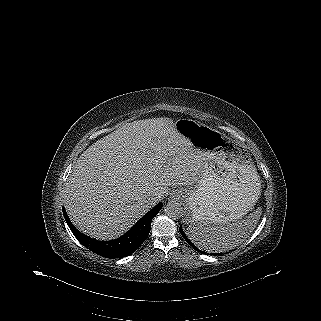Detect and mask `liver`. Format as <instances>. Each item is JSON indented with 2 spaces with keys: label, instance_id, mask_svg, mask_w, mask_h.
<instances>
[{
  "label": "liver",
  "instance_id": "6515ba94",
  "mask_svg": "<svg viewBox=\"0 0 321 321\" xmlns=\"http://www.w3.org/2000/svg\"><path fill=\"white\" fill-rule=\"evenodd\" d=\"M175 146L174 151L168 148ZM202 158L169 118L126 123L83 152L68 178L64 204L72 223L100 240L124 234L168 194L198 181Z\"/></svg>",
  "mask_w": 321,
  "mask_h": 321
}]
</instances>
